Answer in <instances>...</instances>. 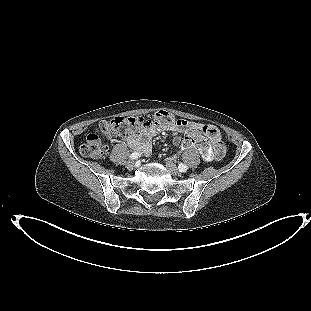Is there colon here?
Wrapping results in <instances>:
<instances>
[{"mask_svg": "<svg viewBox=\"0 0 311 311\" xmlns=\"http://www.w3.org/2000/svg\"><path fill=\"white\" fill-rule=\"evenodd\" d=\"M164 124L187 127L188 121L177 118L168 112L159 111L154 114L153 119L145 116H120L111 120L102 121L98 126V132L108 137L125 136L140 127ZM185 142L189 146L198 148L205 159L209 160L213 158L208 141L200 135L193 133L186 138ZM79 150L83 156L89 158H101L107 153V147L102 143L97 133L88 134L84 142L80 145Z\"/></svg>", "mask_w": 311, "mask_h": 311, "instance_id": "5ec220e1", "label": "colon"}]
</instances>
